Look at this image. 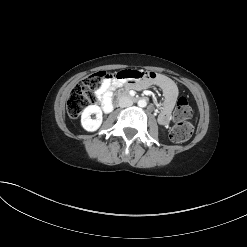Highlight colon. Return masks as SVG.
Returning <instances> with one entry per match:
<instances>
[{"instance_id":"5ec220e1","label":"colon","mask_w":247,"mask_h":247,"mask_svg":"<svg viewBox=\"0 0 247 247\" xmlns=\"http://www.w3.org/2000/svg\"><path fill=\"white\" fill-rule=\"evenodd\" d=\"M114 78V74L99 71L86 77L81 84L76 85L67 101V112L71 118H77L84 108L95 102L96 92L105 79ZM192 116V109L185 97H180L174 110L175 124L170 137L174 142L187 141L192 133L193 126L188 121Z\"/></svg>"}]
</instances>
